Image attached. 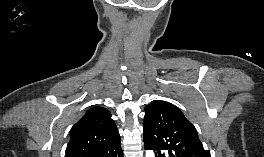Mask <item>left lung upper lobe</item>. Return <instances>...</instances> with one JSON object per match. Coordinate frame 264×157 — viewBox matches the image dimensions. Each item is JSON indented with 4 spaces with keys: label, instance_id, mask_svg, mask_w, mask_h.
<instances>
[{
    "label": "left lung upper lobe",
    "instance_id": "obj_1",
    "mask_svg": "<svg viewBox=\"0 0 264 157\" xmlns=\"http://www.w3.org/2000/svg\"><path fill=\"white\" fill-rule=\"evenodd\" d=\"M143 140L145 149L155 151L156 157H211L193 124L165 101L156 100L145 107Z\"/></svg>",
    "mask_w": 264,
    "mask_h": 157
}]
</instances>
